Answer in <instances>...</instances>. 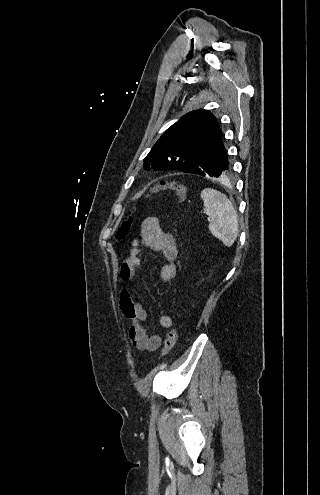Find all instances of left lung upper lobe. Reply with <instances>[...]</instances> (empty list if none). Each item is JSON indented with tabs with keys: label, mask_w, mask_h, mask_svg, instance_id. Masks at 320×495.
Returning <instances> with one entry per match:
<instances>
[{
	"label": "left lung upper lobe",
	"mask_w": 320,
	"mask_h": 495,
	"mask_svg": "<svg viewBox=\"0 0 320 495\" xmlns=\"http://www.w3.org/2000/svg\"><path fill=\"white\" fill-rule=\"evenodd\" d=\"M216 118L207 110L187 113L170 126L145 158L144 167L184 171L197 163L222 138Z\"/></svg>",
	"instance_id": "5c2ea615"
}]
</instances>
